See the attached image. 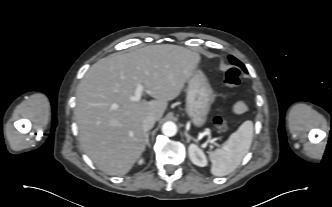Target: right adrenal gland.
<instances>
[{"mask_svg": "<svg viewBox=\"0 0 332 207\" xmlns=\"http://www.w3.org/2000/svg\"><path fill=\"white\" fill-rule=\"evenodd\" d=\"M149 135H150V132H148V133L145 134V137H146V145H147L148 147H150Z\"/></svg>", "mask_w": 332, "mask_h": 207, "instance_id": "2a0ac1e0", "label": "right adrenal gland"}]
</instances>
